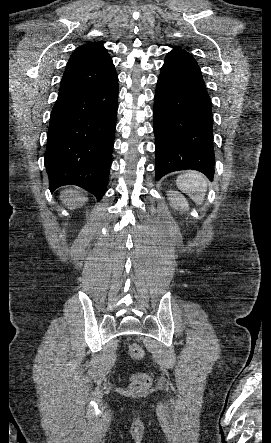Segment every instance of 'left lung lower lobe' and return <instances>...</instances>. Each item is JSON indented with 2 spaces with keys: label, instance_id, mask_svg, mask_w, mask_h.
<instances>
[{
  "label": "left lung lower lobe",
  "instance_id": "1",
  "mask_svg": "<svg viewBox=\"0 0 271 443\" xmlns=\"http://www.w3.org/2000/svg\"><path fill=\"white\" fill-rule=\"evenodd\" d=\"M156 180L193 169L214 175L213 115L200 68L191 54H167L154 100Z\"/></svg>",
  "mask_w": 271,
  "mask_h": 443
}]
</instances>
